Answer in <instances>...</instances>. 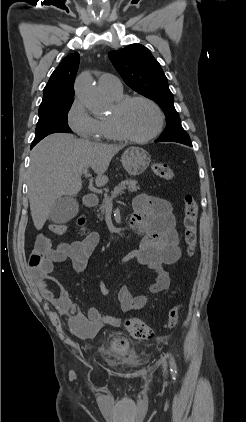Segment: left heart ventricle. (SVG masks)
<instances>
[{
  "label": "left heart ventricle",
  "instance_id": "1",
  "mask_svg": "<svg viewBox=\"0 0 246 422\" xmlns=\"http://www.w3.org/2000/svg\"><path fill=\"white\" fill-rule=\"evenodd\" d=\"M114 114L115 109L113 108L111 117ZM121 120L132 135L144 137L152 133L157 127L158 115L151 105L143 101H135L121 113Z\"/></svg>",
  "mask_w": 246,
  "mask_h": 422
}]
</instances>
